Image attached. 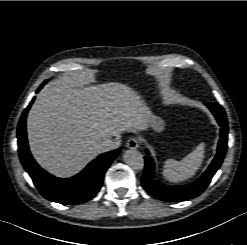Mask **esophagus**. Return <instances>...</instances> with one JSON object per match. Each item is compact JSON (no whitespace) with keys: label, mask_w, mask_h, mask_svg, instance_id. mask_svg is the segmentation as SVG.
<instances>
[{"label":"esophagus","mask_w":247,"mask_h":245,"mask_svg":"<svg viewBox=\"0 0 247 245\" xmlns=\"http://www.w3.org/2000/svg\"><path fill=\"white\" fill-rule=\"evenodd\" d=\"M128 145L131 147H136L138 145V140L135 138H132L128 141Z\"/></svg>","instance_id":"esophagus-1"}]
</instances>
